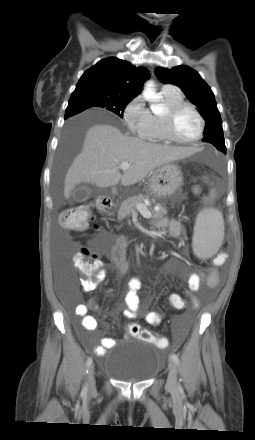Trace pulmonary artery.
I'll use <instances>...</instances> for the list:
<instances>
[{
    "label": "pulmonary artery",
    "instance_id": "e3ab8cb5",
    "mask_svg": "<svg viewBox=\"0 0 255 440\" xmlns=\"http://www.w3.org/2000/svg\"><path fill=\"white\" fill-rule=\"evenodd\" d=\"M172 86L171 85H164L163 87H162V90H172Z\"/></svg>",
    "mask_w": 255,
    "mask_h": 440
}]
</instances>
